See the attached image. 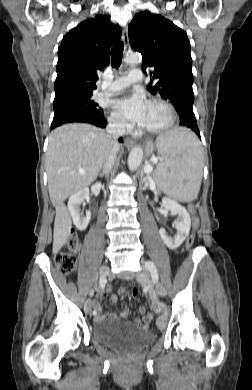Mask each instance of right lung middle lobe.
<instances>
[{
    "label": "right lung middle lobe",
    "instance_id": "1",
    "mask_svg": "<svg viewBox=\"0 0 252 390\" xmlns=\"http://www.w3.org/2000/svg\"><path fill=\"white\" fill-rule=\"evenodd\" d=\"M92 94L77 95L62 100L54 101V113L65 110H79L94 114H103V110L97 103L90 100Z\"/></svg>",
    "mask_w": 252,
    "mask_h": 390
}]
</instances>
